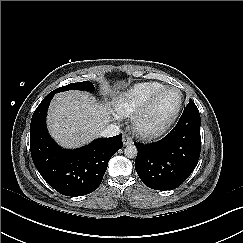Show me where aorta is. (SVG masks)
Here are the masks:
<instances>
[{
  "instance_id": "762f6f07",
  "label": "aorta",
  "mask_w": 243,
  "mask_h": 243,
  "mask_svg": "<svg viewBox=\"0 0 243 243\" xmlns=\"http://www.w3.org/2000/svg\"><path fill=\"white\" fill-rule=\"evenodd\" d=\"M137 153V148L134 145H127L124 149V155L130 159L135 158L137 156Z\"/></svg>"
}]
</instances>
